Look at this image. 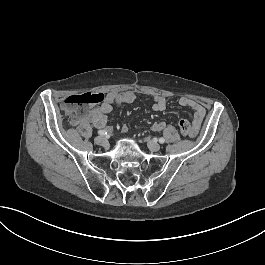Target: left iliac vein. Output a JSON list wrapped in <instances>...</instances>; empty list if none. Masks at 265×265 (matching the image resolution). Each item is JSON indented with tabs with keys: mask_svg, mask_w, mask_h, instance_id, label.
I'll return each mask as SVG.
<instances>
[{
	"mask_svg": "<svg viewBox=\"0 0 265 265\" xmlns=\"http://www.w3.org/2000/svg\"><path fill=\"white\" fill-rule=\"evenodd\" d=\"M148 148L153 152H157L160 150V145L154 141L149 140L148 141Z\"/></svg>",
	"mask_w": 265,
	"mask_h": 265,
	"instance_id": "obj_1",
	"label": "left iliac vein"
}]
</instances>
